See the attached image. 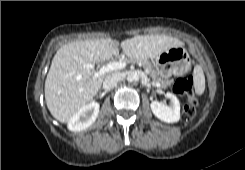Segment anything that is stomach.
<instances>
[{
    "mask_svg": "<svg viewBox=\"0 0 245 170\" xmlns=\"http://www.w3.org/2000/svg\"><path fill=\"white\" fill-rule=\"evenodd\" d=\"M154 63L159 75L164 79L186 72L191 65L189 55L183 46H175L160 53L155 57Z\"/></svg>",
    "mask_w": 245,
    "mask_h": 170,
    "instance_id": "stomach-1",
    "label": "stomach"
}]
</instances>
